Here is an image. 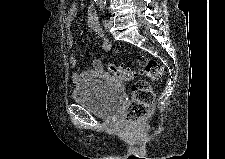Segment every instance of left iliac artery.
<instances>
[{
  "instance_id": "1",
  "label": "left iliac artery",
  "mask_w": 225,
  "mask_h": 159,
  "mask_svg": "<svg viewBox=\"0 0 225 159\" xmlns=\"http://www.w3.org/2000/svg\"><path fill=\"white\" fill-rule=\"evenodd\" d=\"M102 11H104V7H100ZM108 24V20H103V25L106 26Z\"/></svg>"
}]
</instances>
